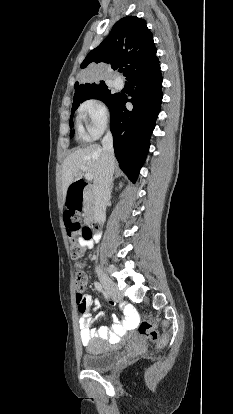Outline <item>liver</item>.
<instances>
[{
  "instance_id": "obj_1",
  "label": "liver",
  "mask_w": 233,
  "mask_h": 414,
  "mask_svg": "<svg viewBox=\"0 0 233 414\" xmlns=\"http://www.w3.org/2000/svg\"><path fill=\"white\" fill-rule=\"evenodd\" d=\"M102 148L93 144L82 149H78L68 155L63 163L62 169V191L63 201H66V194L69 186L82 178L83 173H90L95 178L100 170ZM81 168H85L83 171Z\"/></svg>"
}]
</instances>
